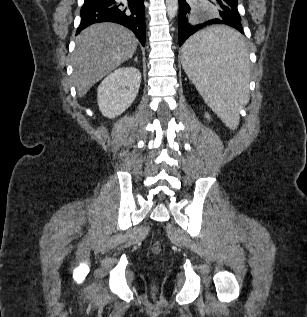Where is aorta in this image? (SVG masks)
I'll return each instance as SVG.
<instances>
[{
    "instance_id": "1",
    "label": "aorta",
    "mask_w": 307,
    "mask_h": 317,
    "mask_svg": "<svg viewBox=\"0 0 307 317\" xmlns=\"http://www.w3.org/2000/svg\"><path fill=\"white\" fill-rule=\"evenodd\" d=\"M166 10L169 19H173L178 11V0H166Z\"/></svg>"
}]
</instances>
